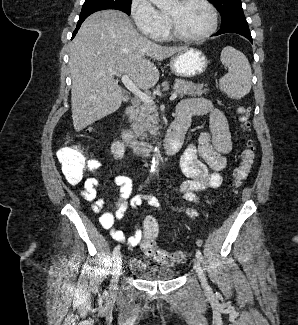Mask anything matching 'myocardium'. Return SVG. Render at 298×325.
<instances>
[{
    "instance_id": "1",
    "label": "myocardium",
    "mask_w": 298,
    "mask_h": 325,
    "mask_svg": "<svg viewBox=\"0 0 298 325\" xmlns=\"http://www.w3.org/2000/svg\"><path fill=\"white\" fill-rule=\"evenodd\" d=\"M185 1H188V0H175L176 3H183ZM193 1L202 5L208 13L210 23H209L207 30L205 32H203L202 34L194 36V37L185 36L184 34L180 33L179 30L177 29L170 12L165 10L164 8H162V11H163V13L166 17V20H167V31H166L167 38H172L174 40L182 41V42H201V41L206 40L208 37H210L215 32L216 26H217V20H216L215 13H214V10L211 7V5L208 2H206L205 0H193Z\"/></svg>"
}]
</instances>
